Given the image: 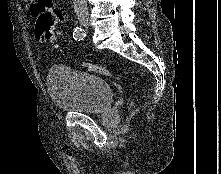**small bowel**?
I'll use <instances>...</instances> for the list:
<instances>
[{
	"mask_svg": "<svg viewBox=\"0 0 221 174\" xmlns=\"http://www.w3.org/2000/svg\"><path fill=\"white\" fill-rule=\"evenodd\" d=\"M29 10L34 19H37L43 14H49L57 21L64 23L68 19L66 11L58 7L53 0H26Z\"/></svg>",
	"mask_w": 221,
	"mask_h": 174,
	"instance_id": "c3829d8e",
	"label": "small bowel"
}]
</instances>
